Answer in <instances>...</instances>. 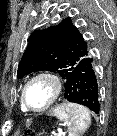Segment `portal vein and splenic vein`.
I'll return each instance as SVG.
<instances>
[{
	"label": "portal vein and splenic vein",
	"instance_id": "portal-vein-and-splenic-vein-1",
	"mask_svg": "<svg viewBox=\"0 0 117 136\" xmlns=\"http://www.w3.org/2000/svg\"><path fill=\"white\" fill-rule=\"evenodd\" d=\"M51 136H59L57 132L53 131Z\"/></svg>",
	"mask_w": 117,
	"mask_h": 136
}]
</instances>
